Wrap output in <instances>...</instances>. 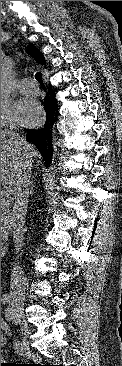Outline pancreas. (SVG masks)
I'll return each mask as SVG.
<instances>
[{
  "instance_id": "obj_1",
  "label": "pancreas",
  "mask_w": 122,
  "mask_h": 366,
  "mask_svg": "<svg viewBox=\"0 0 122 366\" xmlns=\"http://www.w3.org/2000/svg\"><path fill=\"white\" fill-rule=\"evenodd\" d=\"M10 205V199H4L1 197V239H7L9 234L8 229V209Z\"/></svg>"
}]
</instances>
